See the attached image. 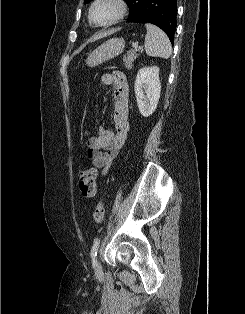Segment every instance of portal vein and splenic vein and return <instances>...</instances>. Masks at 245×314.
<instances>
[{
	"mask_svg": "<svg viewBox=\"0 0 245 314\" xmlns=\"http://www.w3.org/2000/svg\"><path fill=\"white\" fill-rule=\"evenodd\" d=\"M133 47H134V50H135V51H139L140 49H142V47L139 46L138 43H135Z\"/></svg>",
	"mask_w": 245,
	"mask_h": 314,
	"instance_id": "obj_1",
	"label": "portal vein and splenic vein"
}]
</instances>
